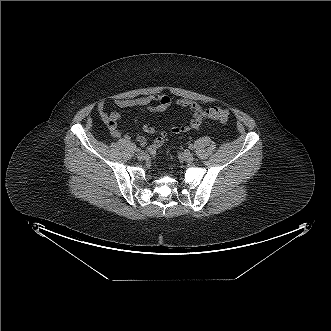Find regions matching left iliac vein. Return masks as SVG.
Listing matches in <instances>:
<instances>
[{"label":"left iliac vein","instance_id":"1","mask_svg":"<svg viewBox=\"0 0 331 331\" xmlns=\"http://www.w3.org/2000/svg\"><path fill=\"white\" fill-rule=\"evenodd\" d=\"M181 158L186 161V162H193L194 161V156L193 154L189 153V152H183L181 153Z\"/></svg>","mask_w":331,"mask_h":331}]
</instances>
